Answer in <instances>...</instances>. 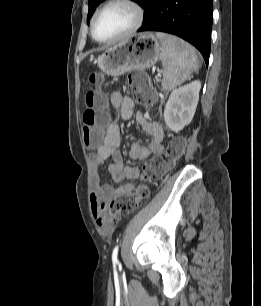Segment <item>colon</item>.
<instances>
[{"mask_svg": "<svg viewBox=\"0 0 261 306\" xmlns=\"http://www.w3.org/2000/svg\"><path fill=\"white\" fill-rule=\"evenodd\" d=\"M88 79L93 88L86 93L85 97L83 135L86 147L92 149L97 148L101 143L106 118L102 110L104 94L100 88L103 77L97 72H92ZM128 87L138 103L149 104L153 102L155 93L145 74L131 73L128 76ZM185 144L186 141L182 137L172 138L163 150L156 153L144 164L140 174L142 182L137 188L134 191L120 194L112 201L109 209L111 222H119L131 214L140 202L149 197V183L159 181L164 176L182 156Z\"/></svg>", "mask_w": 261, "mask_h": 306, "instance_id": "1", "label": "colon"}]
</instances>
